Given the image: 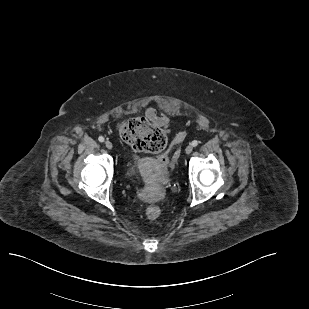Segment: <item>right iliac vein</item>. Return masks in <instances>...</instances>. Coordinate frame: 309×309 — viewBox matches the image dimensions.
<instances>
[{"instance_id":"obj_1","label":"right iliac vein","mask_w":309,"mask_h":309,"mask_svg":"<svg viewBox=\"0 0 309 309\" xmlns=\"http://www.w3.org/2000/svg\"><path fill=\"white\" fill-rule=\"evenodd\" d=\"M105 146H106V148H108V149H112V147H113V145H112V143H111L110 141H106V142H105Z\"/></svg>"}]
</instances>
